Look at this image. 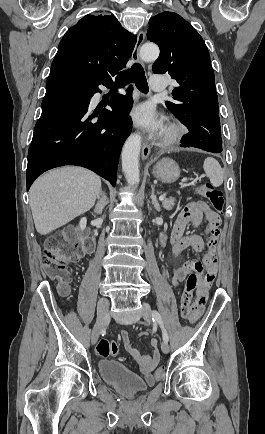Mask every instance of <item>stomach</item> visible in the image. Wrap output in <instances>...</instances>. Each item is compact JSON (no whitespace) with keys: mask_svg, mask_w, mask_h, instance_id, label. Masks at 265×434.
<instances>
[{"mask_svg":"<svg viewBox=\"0 0 265 434\" xmlns=\"http://www.w3.org/2000/svg\"><path fill=\"white\" fill-rule=\"evenodd\" d=\"M153 176L163 182V184H171L176 182L180 176V168L171 158H163L155 164L152 172Z\"/></svg>","mask_w":265,"mask_h":434,"instance_id":"stomach-1","label":"stomach"}]
</instances>
